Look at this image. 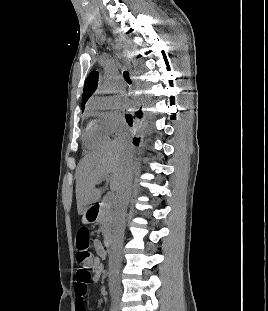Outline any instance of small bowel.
Listing matches in <instances>:
<instances>
[{
    "mask_svg": "<svg viewBox=\"0 0 268 311\" xmlns=\"http://www.w3.org/2000/svg\"><path fill=\"white\" fill-rule=\"evenodd\" d=\"M93 246L96 252V255L93 257L89 268L92 272V282L97 283L104 273V263L103 261L106 258V251L102 246L101 242L98 239L93 241ZM75 295V311H86L84 305V294H81L78 290V284H75L74 287Z\"/></svg>",
    "mask_w": 268,
    "mask_h": 311,
    "instance_id": "c3829d8e",
    "label": "small bowel"
}]
</instances>
